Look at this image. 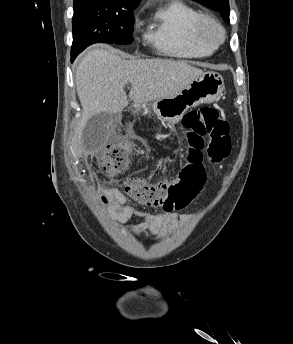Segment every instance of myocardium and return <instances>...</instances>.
<instances>
[{
  "label": "myocardium",
  "instance_id": "1",
  "mask_svg": "<svg viewBox=\"0 0 293 344\" xmlns=\"http://www.w3.org/2000/svg\"><path fill=\"white\" fill-rule=\"evenodd\" d=\"M209 31L213 36H209ZM197 40L204 46L217 49L225 40V29L222 24L210 15H201L195 26Z\"/></svg>",
  "mask_w": 293,
  "mask_h": 344
}]
</instances>
